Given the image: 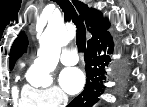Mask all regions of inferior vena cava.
<instances>
[{
    "label": "inferior vena cava",
    "instance_id": "602c4592",
    "mask_svg": "<svg viewBox=\"0 0 147 107\" xmlns=\"http://www.w3.org/2000/svg\"><path fill=\"white\" fill-rule=\"evenodd\" d=\"M67 101H68V98H67V96H63V102H64V106L67 104Z\"/></svg>",
    "mask_w": 147,
    "mask_h": 107
}]
</instances>
